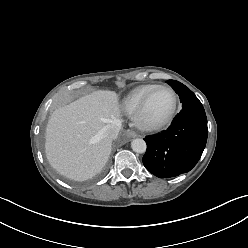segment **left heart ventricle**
<instances>
[{
	"label": "left heart ventricle",
	"instance_id": "left-heart-ventricle-1",
	"mask_svg": "<svg viewBox=\"0 0 248 248\" xmlns=\"http://www.w3.org/2000/svg\"><path fill=\"white\" fill-rule=\"evenodd\" d=\"M172 96L164 89L154 90L147 102L145 118L149 121H156L163 118L171 109Z\"/></svg>",
	"mask_w": 248,
	"mask_h": 248
}]
</instances>
